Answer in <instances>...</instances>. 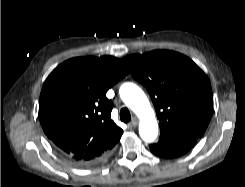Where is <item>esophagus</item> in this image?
I'll return each mask as SVG.
<instances>
[{"label":"esophagus","mask_w":245,"mask_h":187,"mask_svg":"<svg viewBox=\"0 0 245 187\" xmlns=\"http://www.w3.org/2000/svg\"><path fill=\"white\" fill-rule=\"evenodd\" d=\"M129 124L133 128L136 127L138 125V119L134 117Z\"/></svg>","instance_id":"obj_1"}]
</instances>
